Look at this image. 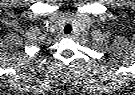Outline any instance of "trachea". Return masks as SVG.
Masks as SVG:
<instances>
[{"instance_id": "3493384b", "label": "trachea", "mask_w": 135, "mask_h": 95, "mask_svg": "<svg viewBox=\"0 0 135 95\" xmlns=\"http://www.w3.org/2000/svg\"><path fill=\"white\" fill-rule=\"evenodd\" d=\"M71 31H72V27H71V25H66L65 27H64V33L65 34H69V33H71Z\"/></svg>"}]
</instances>
